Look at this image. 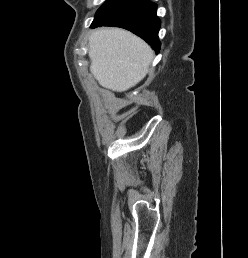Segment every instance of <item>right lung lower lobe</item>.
Wrapping results in <instances>:
<instances>
[{
	"mask_svg": "<svg viewBox=\"0 0 248 258\" xmlns=\"http://www.w3.org/2000/svg\"><path fill=\"white\" fill-rule=\"evenodd\" d=\"M157 5L149 0H119L109 11L91 24L92 28L115 26L127 29L144 39L156 53L160 50V19Z\"/></svg>",
	"mask_w": 248,
	"mask_h": 258,
	"instance_id": "right-lung-lower-lobe-1",
	"label": "right lung lower lobe"
}]
</instances>
